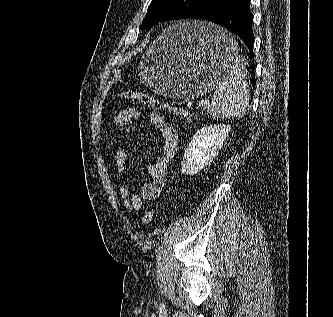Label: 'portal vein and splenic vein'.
Here are the masks:
<instances>
[{
  "mask_svg": "<svg viewBox=\"0 0 333 317\" xmlns=\"http://www.w3.org/2000/svg\"><path fill=\"white\" fill-rule=\"evenodd\" d=\"M201 104H205V105H207V104H209V101H207V100H205V101H201ZM187 107H192V103H190V102H188L187 103Z\"/></svg>",
  "mask_w": 333,
  "mask_h": 317,
  "instance_id": "portal-vein-and-splenic-vein-1",
  "label": "portal vein and splenic vein"
}]
</instances>
